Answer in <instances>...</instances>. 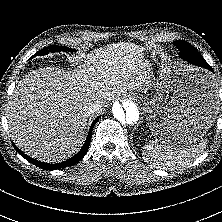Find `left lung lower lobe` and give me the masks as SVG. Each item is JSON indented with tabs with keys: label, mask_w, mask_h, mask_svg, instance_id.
Listing matches in <instances>:
<instances>
[{
	"label": "left lung lower lobe",
	"mask_w": 222,
	"mask_h": 222,
	"mask_svg": "<svg viewBox=\"0 0 222 222\" xmlns=\"http://www.w3.org/2000/svg\"><path fill=\"white\" fill-rule=\"evenodd\" d=\"M182 59H183V58H182ZM184 60H186V61H188V62H191V63L195 64L196 66L203 67V68H206V69H208V70H210V71H213L212 68H211V66H204V65L201 64V62H198V61H196V60L193 59V58L186 57V59H184Z\"/></svg>",
	"instance_id": "0a47b994"
}]
</instances>
